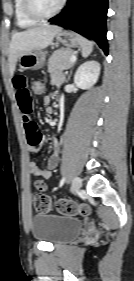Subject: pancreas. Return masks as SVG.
I'll use <instances>...</instances> for the list:
<instances>
[{"mask_svg":"<svg viewBox=\"0 0 134 281\" xmlns=\"http://www.w3.org/2000/svg\"><path fill=\"white\" fill-rule=\"evenodd\" d=\"M74 51L70 48H61L53 52L48 60V72L54 75L58 71H63L71 68L73 63L70 62Z\"/></svg>","mask_w":134,"mask_h":281,"instance_id":"pancreas-1","label":"pancreas"}]
</instances>
